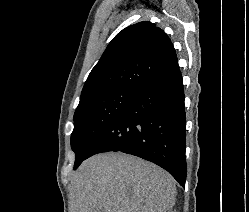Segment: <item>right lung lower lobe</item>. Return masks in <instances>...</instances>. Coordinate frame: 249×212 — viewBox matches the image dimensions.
I'll list each match as a JSON object with an SVG mask.
<instances>
[{"instance_id":"right-lung-lower-lobe-1","label":"right lung lower lobe","mask_w":249,"mask_h":212,"mask_svg":"<svg viewBox=\"0 0 249 212\" xmlns=\"http://www.w3.org/2000/svg\"><path fill=\"white\" fill-rule=\"evenodd\" d=\"M184 92L179 69L145 88L108 125L87 158L120 151L167 170L183 187L186 181Z\"/></svg>"}]
</instances>
